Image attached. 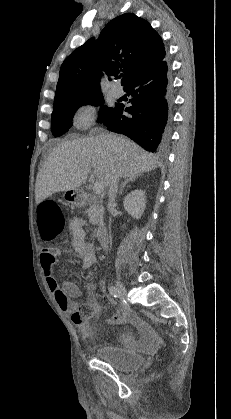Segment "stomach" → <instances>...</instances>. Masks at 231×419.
<instances>
[{
    "label": "stomach",
    "instance_id": "obj_1",
    "mask_svg": "<svg viewBox=\"0 0 231 419\" xmlns=\"http://www.w3.org/2000/svg\"><path fill=\"white\" fill-rule=\"evenodd\" d=\"M64 199L68 204L71 205H80L81 198L78 190H69L64 193Z\"/></svg>",
    "mask_w": 231,
    "mask_h": 419
}]
</instances>
